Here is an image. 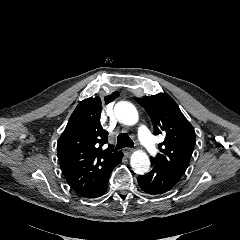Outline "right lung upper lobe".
Instances as JSON below:
<instances>
[{
	"label": "right lung upper lobe",
	"mask_w": 240,
	"mask_h": 240,
	"mask_svg": "<svg viewBox=\"0 0 240 240\" xmlns=\"http://www.w3.org/2000/svg\"><path fill=\"white\" fill-rule=\"evenodd\" d=\"M113 92L105 104L119 96ZM101 99L90 97L81 101L72 113L58 140L61 170L71 188L85 196L118 164L121 151L103 149L108 134L100 124Z\"/></svg>",
	"instance_id": "right-lung-upper-lobe-1"
}]
</instances>
